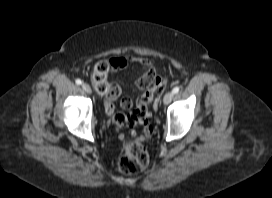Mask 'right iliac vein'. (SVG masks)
Returning a JSON list of instances; mask_svg holds the SVG:
<instances>
[{
	"label": "right iliac vein",
	"instance_id": "63e3f726",
	"mask_svg": "<svg viewBox=\"0 0 272 198\" xmlns=\"http://www.w3.org/2000/svg\"><path fill=\"white\" fill-rule=\"evenodd\" d=\"M82 89L88 94L92 93V90H91L90 86L87 83L82 84Z\"/></svg>",
	"mask_w": 272,
	"mask_h": 198
}]
</instances>
